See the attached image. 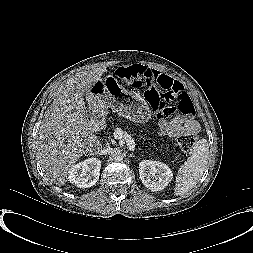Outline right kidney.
Listing matches in <instances>:
<instances>
[{"instance_id": "obj_1", "label": "right kidney", "mask_w": 253, "mask_h": 253, "mask_svg": "<svg viewBox=\"0 0 253 253\" xmlns=\"http://www.w3.org/2000/svg\"><path fill=\"white\" fill-rule=\"evenodd\" d=\"M101 161L97 158H88L75 164L68 172L69 181L77 188L93 186L99 179Z\"/></svg>"}]
</instances>
